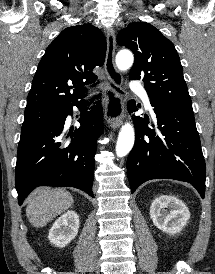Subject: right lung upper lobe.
I'll list each match as a JSON object with an SVG mask.
<instances>
[{
  "mask_svg": "<svg viewBox=\"0 0 215 274\" xmlns=\"http://www.w3.org/2000/svg\"><path fill=\"white\" fill-rule=\"evenodd\" d=\"M106 54L103 33L91 24L64 29L48 46L38 64L25 111L63 109L85 96L92 72ZM74 88V89H73Z\"/></svg>",
  "mask_w": 215,
  "mask_h": 274,
  "instance_id": "1",
  "label": "right lung upper lobe"
}]
</instances>
